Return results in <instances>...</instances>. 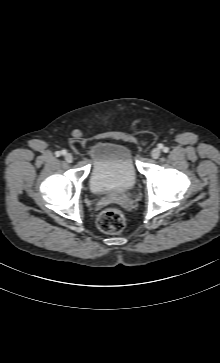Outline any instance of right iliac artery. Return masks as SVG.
<instances>
[{
  "mask_svg": "<svg viewBox=\"0 0 220 363\" xmlns=\"http://www.w3.org/2000/svg\"><path fill=\"white\" fill-rule=\"evenodd\" d=\"M65 154H66V150L57 151V152L55 153V155H56L57 157H59V156H61V155H65Z\"/></svg>",
  "mask_w": 220,
  "mask_h": 363,
  "instance_id": "right-iliac-artery-1",
  "label": "right iliac artery"
}]
</instances>
